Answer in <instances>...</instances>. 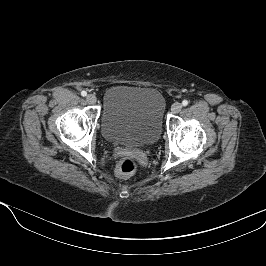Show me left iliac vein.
Listing matches in <instances>:
<instances>
[{"label":"left iliac vein","instance_id":"1","mask_svg":"<svg viewBox=\"0 0 266 266\" xmlns=\"http://www.w3.org/2000/svg\"><path fill=\"white\" fill-rule=\"evenodd\" d=\"M181 109H182V104L179 103V102L174 103V104L172 105V107H171V111H172V113H174V114L179 113V112L181 111Z\"/></svg>","mask_w":266,"mask_h":266}]
</instances>
